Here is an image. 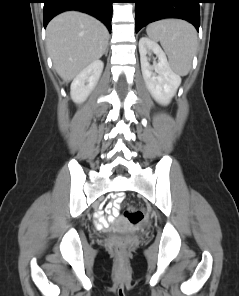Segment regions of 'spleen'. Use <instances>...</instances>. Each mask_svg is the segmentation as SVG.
I'll return each mask as SVG.
<instances>
[{
  "instance_id": "3e777b00",
  "label": "spleen",
  "mask_w": 239,
  "mask_h": 296,
  "mask_svg": "<svg viewBox=\"0 0 239 296\" xmlns=\"http://www.w3.org/2000/svg\"><path fill=\"white\" fill-rule=\"evenodd\" d=\"M146 32L152 40L160 41L173 71L187 75L198 45L195 28L182 20L166 19L149 24Z\"/></svg>"
}]
</instances>
